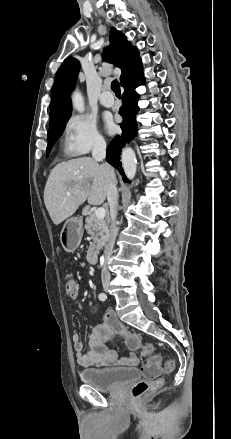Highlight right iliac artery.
<instances>
[{"mask_svg":"<svg viewBox=\"0 0 231 439\" xmlns=\"http://www.w3.org/2000/svg\"><path fill=\"white\" fill-rule=\"evenodd\" d=\"M98 297H99V300H101V301H105L107 299V296L105 293H100Z\"/></svg>","mask_w":231,"mask_h":439,"instance_id":"1","label":"right iliac artery"}]
</instances>
